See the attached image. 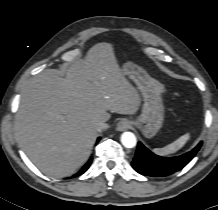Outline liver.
Instances as JSON below:
<instances>
[{"instance_id":"obj_1","label":"liver","mask_w":218,"mask_h":210,"mask_svg":"<svg viewBox=\"0 0 218 210\" xmlns=\"http://www.w3.org/2000/svg\"><path fill=\"white\" fill-rule=\"evenodd\" d=\"M111 45L99 43L66 76L45 70L25 86L16 116L19 143L50 177L75 173L89 158L99 121L110 112L135 114L141 99L125 78ZM159 90L164 86L154 80Z\"/></svg>"}]
</instances>
